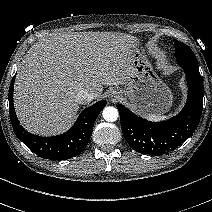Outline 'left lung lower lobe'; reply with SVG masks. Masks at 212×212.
Here are the masks:
<instances>
[{
  "instance_id": "left-lung-lower-lobe-1",
  "label": "left lung lower lobe",
  "mask_w": 212,
  "mask_h": 212,
  "mask_svg": "<svg viewBox=\"0 0 212 212\" xmlns=\"http://www.w3.org/2000/svg\"><path fill=\"white\" fill-rule=\"evenodd\" d=\"M188 83V98L181 112L163 122H151L117 105L123 135L137 152L162 155L176 149L196 130L203 107V83L197 59L177 58Z\"/></svg>"
}]
</instances>
